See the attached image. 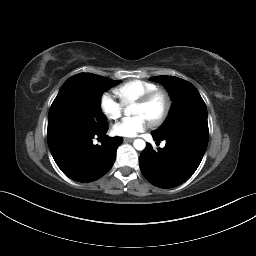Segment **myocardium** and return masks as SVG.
I'll return each instance as SVG.
<instances>
[{
  "label": "myocardium",
  "instance_id": "1",
  "mask_svg": "<svg viewBox=\"0 0 256 256\" xmlns=\"http://www.w3.org/2000/svg\"><path fill=\"white\" fill-rule=\"evenodd\" d=\"M157 98H161L163 100L164 107L162 112L157 117L149 120L154 126L160 125L168 117L172 108V99L170 95L165 90L158 88L146 93L136 101V104L138 105L148 106Z\"/></svg>",
  "mask_w": 256,
  "mask_h": 256
}]
</instances>
